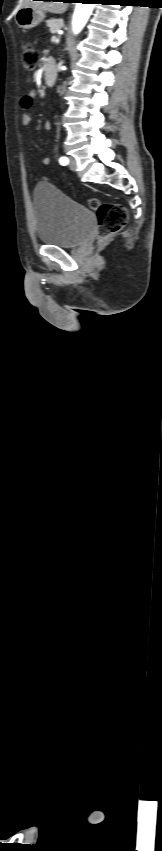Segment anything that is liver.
Segmentation results:
<instances>
[{
	"label": "liver",
	"instance_id": "liver-1",
	"mask_svg": "<svg viewBox=\"0 0 162 851\" xmlns=\"http://www.w3.org/2000/svg\"><path fill=\"white\" fill-rule=\"evenodd\" d=\"M28 6L35 8V9L43 10V11H49V12H52V13H55V14H62L68 8V4L65 3V2L33 1V0H22L21 1L20 8L21 7H28Z\"/></svg>",
	"mask_w": 162,
	"mask_h": 851
}]
</instances>
